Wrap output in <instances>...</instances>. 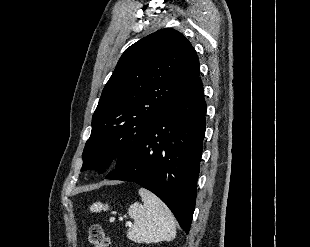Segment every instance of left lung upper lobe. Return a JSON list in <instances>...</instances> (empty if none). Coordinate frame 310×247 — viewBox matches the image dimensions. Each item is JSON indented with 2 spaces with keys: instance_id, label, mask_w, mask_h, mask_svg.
<instances>
[{
  "instance_id": "1",
  "label": "left lung upper lobe",
  "mask_w": 310,
  "mask_h": 247,
  "mask_svg": "<svg viewBox=\"0 0 310 247\" xmlns=\"http://www.w3.org/2000/svg\"><path fill=\"white\" fill-rule=\"evenodd\" d=\"M199 60L178 31L164 28L125 50L92 118L81 171L129 159L162 112L199 77Z\"/></svg>"
}]
</instances>
